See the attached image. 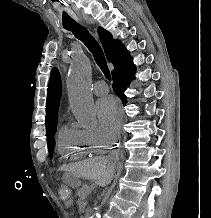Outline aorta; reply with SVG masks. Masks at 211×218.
<instances>
[{"label":"aorta","instance_id":"762f6f07","mask_svg":"<svg viewBox=\"0 0 211 218\" xmlns=\"http://www.w3.org/2000/svg\"><path fill=\"white\" fill-rule=\"evenodd\" d=\"M92 68L86 57H78L70 67L67 78V91L70 106L78 124L82 128H94L96 126V112L93 97L90 90ZM92 218H100V210L97 209Z\"/></svg>","mask_w":211,"mask_h":218}]
</instances>
